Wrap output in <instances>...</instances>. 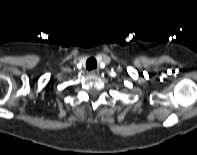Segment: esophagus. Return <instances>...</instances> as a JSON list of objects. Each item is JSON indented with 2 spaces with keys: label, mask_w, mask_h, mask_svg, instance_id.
<instances>
[{
  "label": "esophagus",
  "mask_w": 197,
  "mask_h": 155,
  "mask_svg": "<svg viewBox=\"0 0 197 155\" xmlns=\"http://www.w3.org/2000/svg\"><path fill=\"white\" fill-rule=\"evenodd\" d=\"M91 76H98L99 75V70L98 69H93L89 72Z\"/></svg>",
  "instance_id": "obj_1"
}]
</instances>
